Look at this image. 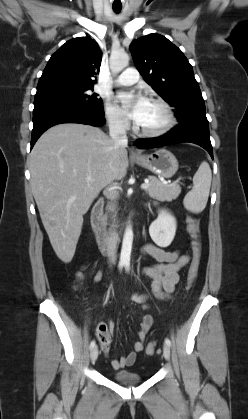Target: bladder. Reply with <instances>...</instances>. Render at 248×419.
<instances>
[{
    "instance_id": "1",
    "label": "bladder",
    "mask_w": 248,
    "mask_h": 419,
    "mask_svg": "<svg viewBox=\"0 0 248 419\" xmlns=\"http://www.w3.org/2000/svg\"><path fill=\"white\" fill-rule=\"evenodd\" d=\"M112 379L122 385H136L142 382L140 374L132 371H116L112 374Z\"/></svg>"
}]
</instances>
